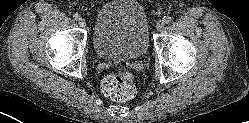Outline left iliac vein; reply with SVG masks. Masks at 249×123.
I'll list each match as a JSON object with an SVG mask.
<instances>
[{
  "mask_svg": "<svg viewBox=\"0 0 249 123\" xmlns=\"http://www.w3.org/2000/svg\"><path fill=\"white\" fill-rule=\"evenodd\" d=\"M164 26H165L164 21H163V20H159V21L157 22V24H156V29H157L158 31H161V30H163Z\"/></svg>",
  "mask_w": 249,
  "mask_h": 123,
  "instance_id": "obj_1",
  "label": "left iliac vein"
}]
</instances>
